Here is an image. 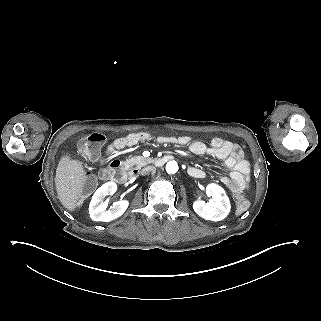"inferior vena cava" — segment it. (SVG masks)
<instances>
[{
	"mask_svg": "<svg viewBox=\"0 0 321 321\" xmlns=\"http://www.w3.org/2000/svg\"><path fill=\"white\" fill-rule=\"evenodd\" d=\"M156 168L154 166H146L141 170V175H147L148 173L155 171Z\"/></svg>",
	"mask_w": 321,
	"mask_h": 321,
	"instance_id": "1",
	"label": "inferior vena cava"
}]
</instances>
